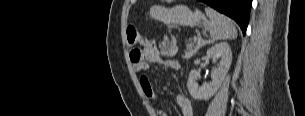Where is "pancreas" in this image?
<instances>
[{
    "mask_svg": "<svg viewBox=\"0 0 305 116\" xmlns=\"http://www.w3.org/2000/svg\"><path fill=\"white\" fill-rule=\"evenodd\" d=\"M199 38V37H198ZM198 40V39H197ZM201 44L194 45L193 43H187L186 45V51H185V58H190L198 51L199 47H201Z\"/></svg>",
    "mask_w": 305,
    "mask_h": 116,
    "instance_id": "pancreas-1",
    "label": "pancreas"
}]
</instances>
